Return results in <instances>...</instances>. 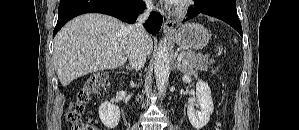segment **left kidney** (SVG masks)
<instances>
[{"label": "left kidney", "instance_id": "left-kidney-1", "mask_svg": "<svg viewBox=\"0 0 299 130\" xmlns=\"http://www.w3.org/2000/svg\"><path fill=\"white\" fill-rule=\"evenodd\" d=\"M182 80L185 83H190L192 81L188 74H184ZM196 97L197 104L190 103L188 105L187 115L192 126L196 130H200L207 125L210 120V115L214 110L211 90L206 82L198 81L196 83ZM195 107H200V111H198Z\"/></svg>", "mask_w": 299, "mask_h": 130}]
</instances>
